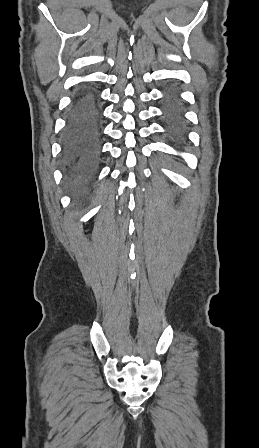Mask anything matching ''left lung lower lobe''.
<instances>
[{"mask_svg":"<svg viewBox=\"0 0 259 448\" xmlns=\"http://www.w3.org/2000/svg\"><path fill=\"white\" fill-rule=\"evenodd\" d=\"M164 118L170 137L177 143H183L185 138V118L178 94L173 89L166 93Z\"/></svg>","mask_w":259,"mask_h":448,"instance_id":"1","label":"left lung lower lobe"}]
</instances>
